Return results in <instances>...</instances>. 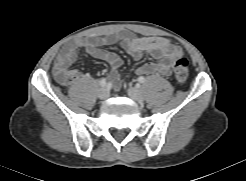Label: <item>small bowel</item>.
<instances>
[{"instance_id": "obj_1", "label": "small bowel", "mask_w": 246, "mask_h": 181, "mask_svg": "<svg viewBox=\"0 0 246 181\" xmlns=\"http://www.w3.org/2000/svg\"><path fill=\"white\" fill-rule=\"evenodd\" d=\"M123 44L127 52L136 60L145 54L151 55L155 62H147L136 69L139 75L160 74L169 76L173 62L183 55L182 49L169 39L162 37H134L130 33L110 34L104 37L85 36L71 40L58 54L54 62V73L77 71L70 68L83 51L86 55L103 60L111 66V79L115 87L120 85L119 69L122 66L121 57L113 51L105 49L106 46Z\"/></svg>"}]
</instances>
